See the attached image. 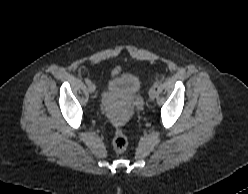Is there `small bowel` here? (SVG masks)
<instances>
[{
  "instance_id": "1",
  "label": "small bowel",
  "mask_w": 248,
  "mask_h": 194,
  "mask_svg": "<svg viewBox=\"0 0 248 194\" xmlns=\"http://www.w3.org/2000/svg\"><path fill=\"white\" fill-rule=\"evenodd\" d=\"M119 72H120L119 68H116L115 71H114L115 74H118Z\"/></svg>"
}]
</instances>
